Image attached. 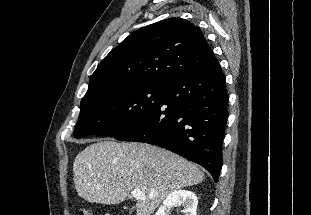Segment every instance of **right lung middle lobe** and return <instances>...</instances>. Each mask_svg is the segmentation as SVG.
Here are the masks:
<instances>
[{
	"mask_svg": "<svg viewBox=\"0 0 311 215\" xmlns=\"http://www.w3.org/2000/svg\"><path fill=\"white\" fill-rule=\"evenodd\" d=\"M163 90V85L133 86L84 97L74 137H115L127 131L160 105Z\"/></svg>",
	"mask_w": 311,
	"mask_h": 215,
	"instance_id": "obj_1",
	"label": "right lung middle lobe"
}]
</instances>
